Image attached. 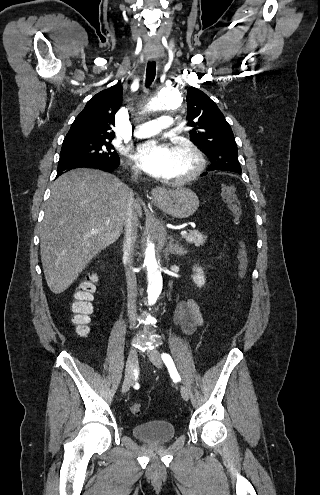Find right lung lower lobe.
<instances>
[{
    "label": "right lung lower lobe",
    "mask_w": 320,
    "mask_h": 495,
    "mask_svg": "<svg viewBox=\"0 0 320 495\" xmlns=\"http://www.w3.org/2000/svg\"><path fill=\"white\" fill-rule=\"evenodd\" d=\"M120 164V161L117 163H103V162H87V163H82V164H77V165H72L68 166L66 168L59 169L57 171V176L61 175L62 172L70 170V169H75V168H95V169H100L103 171L111 172L114 169H116Z\"/></svg>",
    "instance_id": "right-lung-lower-lobe-1"
}]
</instances>
